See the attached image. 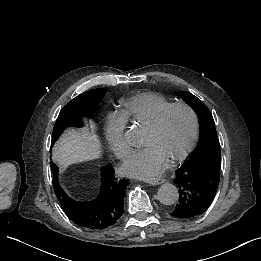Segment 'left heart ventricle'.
Listing matches in <instances>:
<instances>
[{"instance_id": "left-heart-ventricle-1", "label": "left heart ventricle", "mask_w": 261, "mask_h": 261, "mask_svg": "<svg viewBox=\"0 0 261 261\" xmlns=\"http://www.w3.org/2000/svg\"><path fill=\"white\" fill-rule=\"evenodd\" d=\"M141 124L144 132L141 144L154 145L165 159L179 153L186 146L193 130L190 114L179 108L165 112L154 127Z\"/></svg>"}]
</instances>
